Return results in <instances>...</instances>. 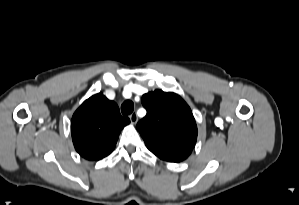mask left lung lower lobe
Segmentation results:
<instances>
[{
	"instance_id": "1",
	"label": "left lung lower lobe",
	"mask_w": 299,
	"mask_h": 205,
	"mask_svg": "<svg viewBox=\"0 0 299 205\" xmlns=\"http://www.w3.org/2000/svg\"><path fill=\"white\" fill-rule=\"evenodd\" d=\"M191 149L168 148L161 151H152L157 157L168 162H181L191 153Z\"/></svg>"
}]
</instances>
